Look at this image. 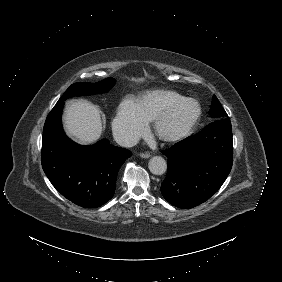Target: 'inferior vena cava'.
Returning <instances> with one entry per match:
<instances>
[{
	"instance_id": "obj_1",
	"label": "inferior vena cava",
	"mask_w": 282,
	"mask_h": 282,
	"mask_svg": "<svg viewBox=\"0 0 282 282\" xmlns=\"http://www.w3.org/2000/svg\"><path fill=\"white\" fill-rule=\"evenodd\" d=\"M113 137L116 143L123 147H133L139 140L130 130L122 127L113 129Z\"/></svg>"
}]
</instances>
